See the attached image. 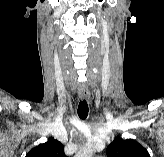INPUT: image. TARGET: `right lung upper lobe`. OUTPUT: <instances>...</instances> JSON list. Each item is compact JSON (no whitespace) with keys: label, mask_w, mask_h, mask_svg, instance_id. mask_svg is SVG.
Here are the masks:
<instances>
[{"label":"right lung upper lobe","mask_w":164,"mask_h":157,"mask_svg":"<svg viewBox=\"0 0 164 157\" xmlns=\"http://www.w3.org/2000/svg\"><path fill=\"white\" fill-rule=\"evenodd\" d=\"M25 157H67L64 154L63 145L55 140L49 138L46 143L40 144L27 153Z\"/></svg>","instance_id":"right-lung-upper-lobe-1"}]
</instances>
